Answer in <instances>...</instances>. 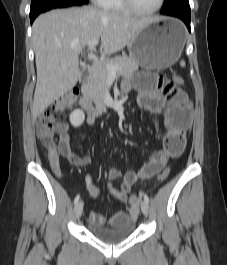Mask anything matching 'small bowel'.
<instances>
[{
	"mask_svg": "<svg viewBox=\"0 0 227 265\" xmlns=\"http://www.w3.org/2000/svg\"><path fill=\"white\" fill-rule=\"evenodd\" d=\"M133 80L122 83L125 92L134 89L137 92L138 104L144 110L155 114H163L166 135L163 147L156 151L138 171H122L112 168L107 172L110 181L121 179L119 188L108 185L112 195L121 202L127 203L133 185L139 180H146L156 175L171 157L180 155L185 146V132L191 124V105L186 93L171 83L168 79L157 76V72H133ZM165 106L167 108L165 109ZM94 118L87 117L88 125L94 123ZM70 125L59 122L55 125V131L59 140L53 149H49V160L52 170L60 175L59 157H65L76 166H87L90 163L88 156H79L70 148ZM87 189L91 197L98 196L100 190L93 183L91 177H87ZM134 212H117L110 219L103 215L90 212L89 222L95 226H103L109 223L112 226L121 225L132 220Z\"/></svg>",
	"mask_w": 227,
	"mask_h": 265,
	"instance_id": "small-bowel-1",
	"label": "small bowel"
}]
</instances>
